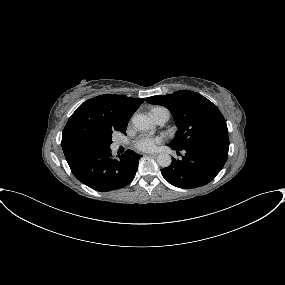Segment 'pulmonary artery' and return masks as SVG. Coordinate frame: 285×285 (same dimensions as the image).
Instances as JSON below:
<instances>
[{
  "label": "pulmonary artery",
  "mask_w": 285,
  "mask_h": 285,
  "mask_svg": "<svg viewBox=\"0 0 285 285\" xmlns=\"http://www.w3.org/2000/svg\"><path fill=\"white\" fill-rule=\"evenodd\" d=\"M152 118L156 124L164 125L165 123L168 122L170 118V113L168 110H158L152 114ZM118 145L119 143H116V146Z\"/></svg>",
  "instance_id": "obj_1"
}]
</instances>
